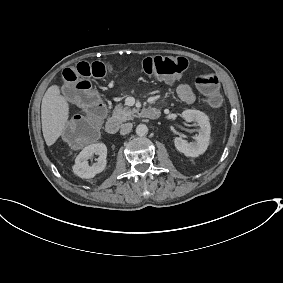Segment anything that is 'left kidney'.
<instances>
[{
    "mask_svg": "<svg viewBox=\"0 0 283 283\" xmlns=\"http://www.w3.org/2000/svg\"><path fill=\"white\" fill-rule=\"evenodd\" d=\"M185 122H196L199 127L196 142L188 143L186 140L175 137L174 145L178 152L187 157H199L205 153L208 148L210 139V123L207 115L198 110H186L182 113Z\"/></svg>",
    "mask_w": 283,
    "mask_h": 283,
    "instance_id": "1",
    "label": "left kidney"
}]
</instances>
